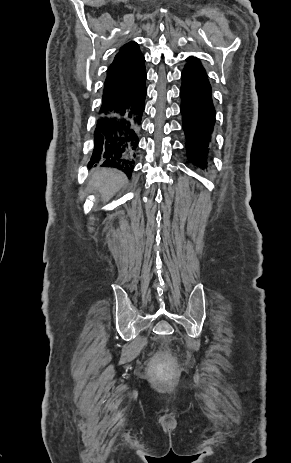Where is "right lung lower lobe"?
Returning <instances> with one entry per match:
<instances>
[{
  "label": "right lung lower lobe",
  "mask_w": 291,
  "mask_h": 463,
  "mask_svg": "<svg viewBox=\"0 0 291 463\" xmlns=\"http://www.w3.org/2000/svg\"><path fill=\"white\" fill-rule=\"evenodd\" d=\"M146 72L142 81L119 104L100 115L94 130V149L90 167L100 164L113 167L131 177L135 152L139 143V128L145 109Z\"/></svg>",
  "instance_id": "obj_1"
}]
</instances>
